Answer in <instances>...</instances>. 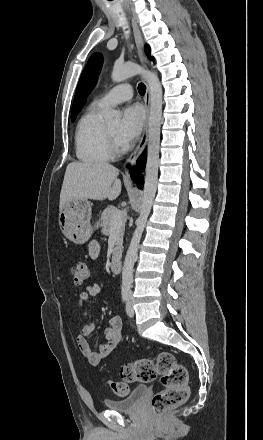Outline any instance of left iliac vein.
Returning a JSON list of instances; mask_svg holds the SVG:
<instances>
[{"mask_svg": "<svg viewBox=\"0 0 263 440\" xmlns=\"http://www.w3.org/2000/svg\"><path fill=\"white\" fill-rule=\"evenodd\" d=\"M126 312H127V315L129 317H133L134 316V310H133V307H132V296H131V294L128 295L127 304H126Z\"/></svg>", "mask_w": 263, "mask_h": 440, "instance_id": "obj_1", "label": "left iliac vein"}]
</instances>
